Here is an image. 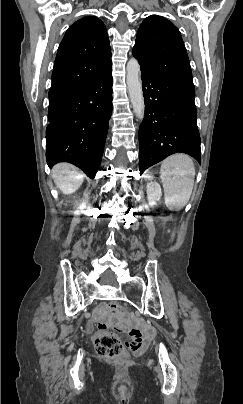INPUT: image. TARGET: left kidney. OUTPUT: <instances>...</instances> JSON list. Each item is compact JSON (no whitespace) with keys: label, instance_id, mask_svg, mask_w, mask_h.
Returning a JSON list of instances; mask_svg holds the SVG:
<instances>
[{"label":"left kidney","instance_id":"1","mask_svg":"<svg viewBox=\"0 0 243 404\" xmlns=\"http://www.w3.org/2000/svg\"><path fill=\"white\" fill-rule=\"evenodd\" d=\"M162 196L161 188L157 182H149L147 184V200L149 208H154L157 206V202H159Z\"/></svg>","mask_w":243,"mask_h":404}]
</instances>
